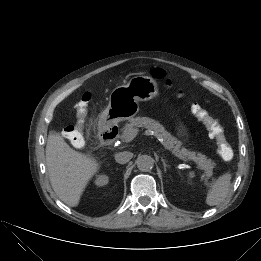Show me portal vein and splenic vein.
Here are the masks:
<instances>
[{
    "label": "portal vein and splenic vein",
    "instance_id": "portal-vein-and-splenic-vein-1",
    "mask_svg": "<svg viewBox=\"0 0 261 261\" xmlns=\"http://www.w3.org/2000/svg\"><path fill=\"white\" fill-rule=\"evenodd\" d=\"M138 132H139L138 129H132V130H130L129 132H127L126 138H125L126 141L129 142V141L133 140V139L137 136ZM171 153H172L174 156H176L177 158H179L180 160L184 161V162H190L189 159H187L186 157H184V156L181 155V154H178V153H176V152H174V151H171Z\"/></svg>",
    "mask_w": 261,
    "mask_h": 261
}]
</instances>
